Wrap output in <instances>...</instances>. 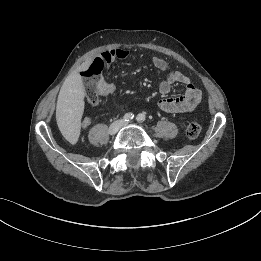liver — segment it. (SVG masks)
<instances>
[{
	"label": "liver",
	"instance_id": "obj_1",
	"mask_svg": "<svg viewBox=\"0 0 261 261\" xmlns=\"http://www.w3.org/2000/svg\"><path fill=\"white\" fill-rule=\"evenodd\" d=\"M90 61L71 72L62 85L56 105L57 124L63 132H77L84 110L85 90L79 71L86 70Z\"/></svg>",
	"mask_w": 261,
	"mask_h": 261
}]
</instances>
